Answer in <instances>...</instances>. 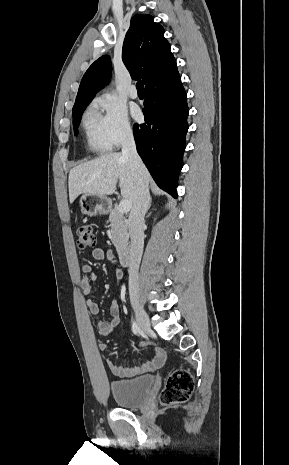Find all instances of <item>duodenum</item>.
Wrapping results in <instances>:
<instances>
[{
	"label": "duodenum",
	"instance_id": "obj_1",
	"mask_svg": "<svg viewBox=\"0 0 289 465\" xmlns=\"http://www.w3.org/2000/svg\"><path fill=\"white\" fill-rule=\"evenodd\" d=\"M121 263L128 267L131 266L134 260V253L131 247H125L121 251Z\"/></svg>",
	"mask_w": 289,
	"mask_h": 465
}]
</instances>
